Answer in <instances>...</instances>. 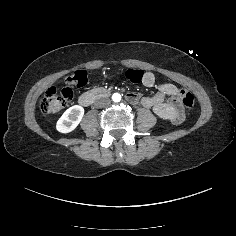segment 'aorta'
Listing matches in <instances>:
<instances>
[{
    "label": "aorta",
    "mask_w": 236,
    "mask_h": 236,
    "mask_svg": "<svg viewBox=\"0 0 236 236\" xmlns=\"http://www.w3.org/2000/svg\"><path fill=\"white\" fill-rule=\"evenodd\" d=\"M112 100H113L114 102H120V101H121V95L118 94V93L113 94V95H112Z\"/></svg>",
    "instance_id": "1"
}]
</instances>
